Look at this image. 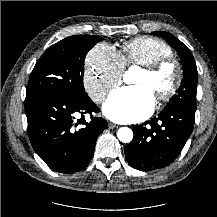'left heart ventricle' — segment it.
<instances>
[{
    "label": "left heart ventricle",
    "mask_w": 217,
    "mask_h": 217,
    "mask_svg": "<svg viewBox=\"0 0 217 217\" xmlns=\"http://www.w3.org/2000/svg\"><path fill=\"white\" fill-rule=\"evenodd\" d=\"M171 79L172 77L168 70H165L157 78H152L144 71H141L134 79L133 85L146 87L155 96L158 91L165 90L170 85Z\"/></svg>",
    "instance_id": "obj_1"
}]
</instances>
